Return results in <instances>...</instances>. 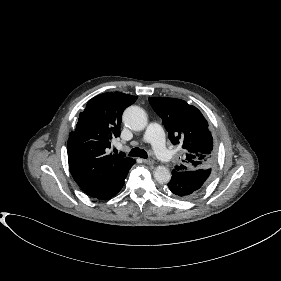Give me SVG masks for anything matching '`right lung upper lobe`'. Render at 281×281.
Returning a JSON list of instances; mask_svg holds the SVG:
<instances>
[{
  "label": "right lung upper lobe",
  "instance_id": "cb5924a9",
  "mask_svg": "<svg viewBox=\"0 0 281 281\" xmlns=\"http://www.w3.org/2000/svg\"><path fill=\"white\" fill-rule=\"evenodd\" d=\"M137 97L104 93L88 101L68 139L70 172L81 189L99 197L115 186L135 160L122 154H108L111 139L120 135L124 109Z\"/></svg>",
  "mask_w": 281,
  "mask_h": 281
}]
</instances>
